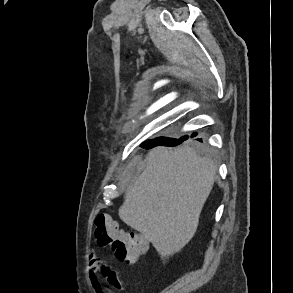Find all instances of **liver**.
I'll list each match as a JSON object with an SVG mask.
<instances>
[{
	"instance_id": "1",
	"label": "liver",
	"mask_w": 293,
	"mask_h": 293,
	"mask_svg": "<svg viewBox=\"0 0 293 293\" xmlns=\"http://www.w3.org/2000/svg\"><path fill=\"white\" fill-rule=\"evenodd\" d=\"M139 166L136 156L129 165L126 181L131 184L119 216L167 257L193 238L212 190L215 164L183 146L156 147L150 151L144 171L135 175Z\"/></svg>"
}]
</instances>
